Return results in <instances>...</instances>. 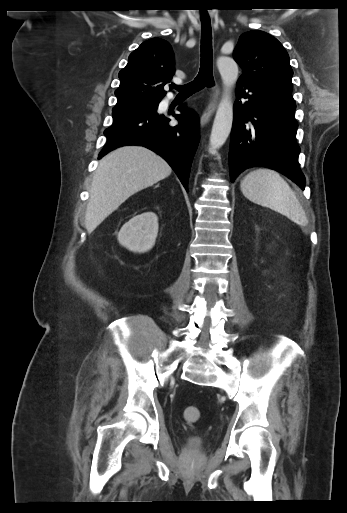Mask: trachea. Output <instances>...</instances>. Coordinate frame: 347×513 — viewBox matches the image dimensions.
Listing matches in <instances>:
<instances>
[{"label":"trachea","instance_id":"3493384b","mask_svg":"<svg viewBox=\"0 0 347 513\" xmlns=\"http://www.w3.org/2000/svg\"><path fill=\"white\" fill-rule=\"evenodd\" d=\"M202 33H201V60L200 70L198 75L193 81L188 84L177 86L171 85L172 88L179 91L182 95H192L193 93L201 90L205 86L211 87L214 85L213 71H212V28L210 20H202Z\"/></svg>","mask_w":347,"mask_h":513}]
</instances>
